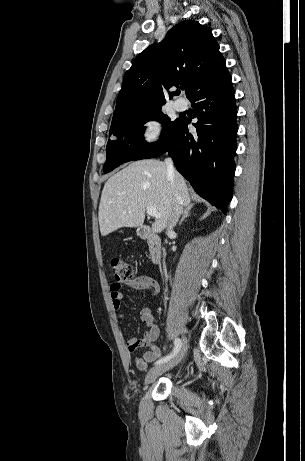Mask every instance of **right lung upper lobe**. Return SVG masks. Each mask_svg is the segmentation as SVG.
<instances>
[{"instance_id": "1", "label": "right lung upper lobe", "mask_w": 305, "mask_h": 461, "mask_svg": "<svg viewBox=\"0 0 305 461\" xmlns=\"http://www.w3.org/2000/svg\"><path fill=\"white\" fill-rule=\"evenodd\" d=\"M228 72L211 30L186 20L168 31L165 39L147 47L125 73L112 125L161 107L163 87L186 84L188 99ZM176 92L170 93V98Z\"/></svg>"}]
</instances>
